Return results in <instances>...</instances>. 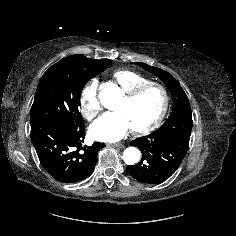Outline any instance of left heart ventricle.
I'll use <instances>...</instances> for the list:
<instances>
[{
	"instance_id": "b2bd125f",
	"label": "left heart ventricle",
	"mask_w": 236,
	"mask_h": 236,
	"mask_svg": "<svg viewBox=\"0 0 236 236\" xmlns=\"http://www.w3.org/2000/svg\"><path fill=\"white\" fill-rule=\"evenodd\" d=\"M163 104V96L159 89L150 88L135 100L127 101L124 97L116 106L130 121L132 128L147 126L158 116Z\"/></svg>"
}]
</instances>
